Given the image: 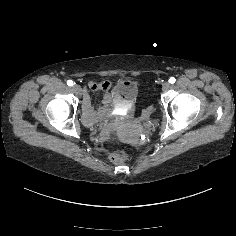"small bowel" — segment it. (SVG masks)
<instances>
[{
    "label": "small bowel",
    "mask_w": 236,
    "mask_h": 236,
    "mask_svg": "<svg viewBox=\"0 0 236 236\" xmlns=\"http://www.w3.org/2000/svg\"><path fill=\"white\" fill-rule=\"evenodd\" d=\"M90 88L95 90V89H101V90H108L111 86V83L109 81H103L100 83H91Z\"/></svg>",
    "instance_id": "obj_1"
}]
</instances>
